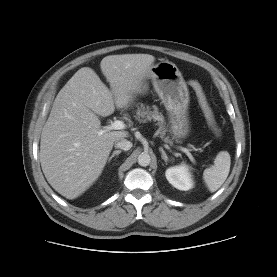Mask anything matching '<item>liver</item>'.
Listing matches in <instances>:
<instances>
[{"label": "liver", "mask_w": 277, "mask_h": 277, "mask_svg": "<svg viewBox=\"0 0 277 277\" xmlns=\"http://www.w3.org/2000/svg\"><path fill=\"white\" fill-rule=\"evenodd\" d=\"M155 57L110 55L101 71L110 89L89 67L79 69L57 94L40 141L42 171L52 188L67 199L84 193L101 175L114 143L127 131L99 134L101 122L116 108H126Z\"/></svg>", "instance_id": "obj_1"}]
</instances>
